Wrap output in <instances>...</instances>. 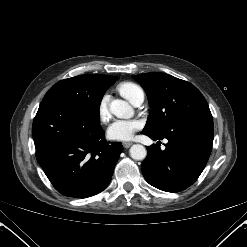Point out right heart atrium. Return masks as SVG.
<instances>
[{"instance_id":"1","label":"right heart atrium","mask_w":247,"mask_h":247,"mask_svg":"<svg viewBox=\"0 0 247 247\" xmlns=\"http://www.w3.org/2000/svg\"><path fill=\"white\" fill-rule=\"evenodd\" d=\"M98 116L101 122L107 123L110 120L111 114L109 110V96L104 95L98 105Z\"/></svg>"}]
</instances>
